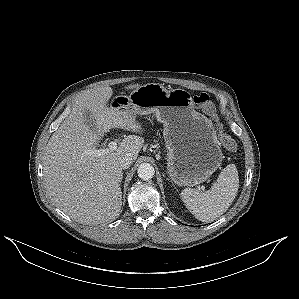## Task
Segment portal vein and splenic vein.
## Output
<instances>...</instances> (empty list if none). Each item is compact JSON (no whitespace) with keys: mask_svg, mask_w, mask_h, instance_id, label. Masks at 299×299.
<instances>
[{"mask_svg":"<svg viewBox=\"0 0 299 299\" xmlns=\"http://www.w3.org/2000/svg\"><path fill=\"white\" fill-rule=\"evenodd\" d=\"M117 149V142L116 141H111L108 144L107 148H103V149H92L89 151V154L95 157H99L102 156L104 154H107L109 151H114ZM202 190L205 189L204 186L201 187Z\"/></svg>","mask_w":299,"mask_h":299,"instance_id":"portal-vein-and-splenic-vein-1","label":"portal vein and splenic vein"}]
</instances>
